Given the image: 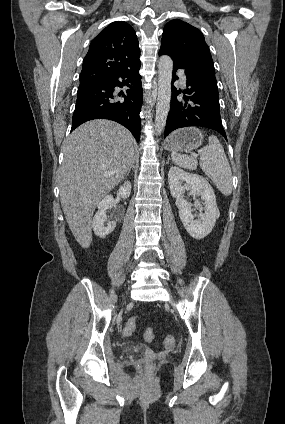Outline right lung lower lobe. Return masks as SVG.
Returning a JSON list of instances; mask_svg holds the SVG:
<instances>
[{
	"instance_id": "right-lung-lower-lobe-1",
	"label": "right lung lower lobe",
	"mask_w": 285,
	"mask_h": 424,
	"mask_svg": "<svg viewBox=\"0 0 285 424\" xmlns=\"http://www.w3.org/2000/svg\"><path fill=\"white\" fill-rule=\"evenodd\" d=\"M140 65L141 63L104 79L80 83L71 131L92 119H109L129 129L138 142L141 127L139 113L142 105ZM119 78L124 79V82H120ZM123 85H126L128 90L115 95L114 88ZM118 96L124 100H118Z\"/></svg>"
}]
</instances>
